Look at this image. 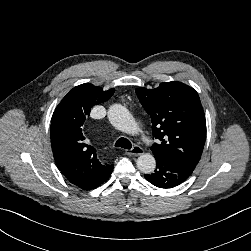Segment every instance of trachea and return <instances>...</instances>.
Listing matches in <instances>:
<instances>
[{"instance_id": "1", "label": "trachea", "mask_w": 251, "mask_h": 251, "mask_svg": "<svg viewBox=\"0 0 251 251\" xmlns=\"http://www.w3.org/2000/svg\"><path fill=\"white\" fill-rule=\"evenodd\" d=\"M115 146L116 147H121V148H124V149H131L132 148L131 142L128 139L124 138V137L119 138L116 141Z\"/></svg>"}]
</instances>
